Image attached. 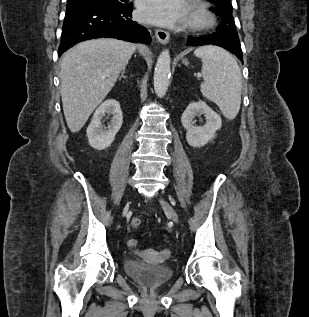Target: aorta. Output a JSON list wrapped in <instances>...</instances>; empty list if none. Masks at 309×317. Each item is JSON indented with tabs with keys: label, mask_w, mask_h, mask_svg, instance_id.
Wrapping results in <instances>:
<instances>
[{
	"label": "aorta",
	"mask_w": 309,
	"mask_h": 317,
	"mask_svg": "<svg viewBox=\"0 0 309 317\" xmlns=\"http://www.w3.org/2000/svg\"><path fill=\"white\" fill-rule=\"evenodd\" d=\"M170 75V54L168 50H164L157 59L154 71V90L158 97H163L166 94Z\"/></svg>",
	"instance_id": "obj_1"
}]
</instances>
